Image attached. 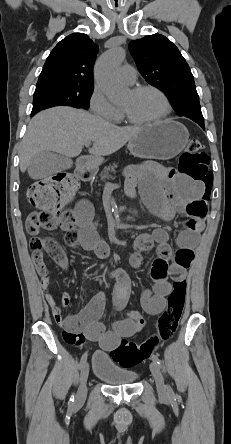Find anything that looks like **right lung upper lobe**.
Here are the masks:
<instances>
[{
	"label": "right lung upper lobe",
	"instance_id": "1",
	"mask_svg": "<svg viewBox=\"0 0 231 444\" xmlns=\"http://www.w3.org/2000/svg\"><path fill=\"white\" fill-rule=\"evenodd\" d=\"M98 45L82 33L61 40L48 56L36 87L45 85L93 86V64Z\"/></svg>",
	"mask_w": 231,
	"mask_h": 444
}]
</instances>
